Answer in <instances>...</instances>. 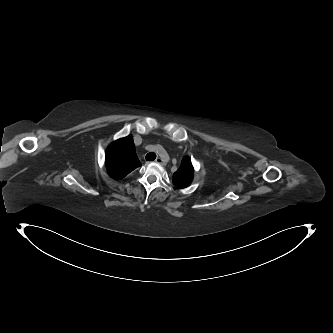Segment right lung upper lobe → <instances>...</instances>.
Segmentation results:
<instances>
[{
  "label": "right lung upper lobe",
  "mask_w": 333,
  "mask_h": 333,
  "mask_svg": "<svg viewBox=\"0 0 333 333\" xmlns=\"http://www.w3.org/2000/svg\"><path fill=\"white\" fill-rule=\"evenodd\" d=\"M105 165L108 174L114 179H122L141 166L135 153L132 136L112 142L105 153Z\"/></svg>",
  "instance_id": "1"
}]
</instances>
